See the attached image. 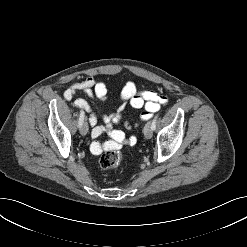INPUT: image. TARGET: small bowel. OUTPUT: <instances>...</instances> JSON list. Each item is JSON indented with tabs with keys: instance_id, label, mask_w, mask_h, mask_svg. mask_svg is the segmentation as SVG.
I'll return each mask as SVG.
<instances>
[{
	"instance_id": "obj_1",
	"label": "small bowel",
	"mask_w": 247,
	"mask_h": 247,
	"mask_svg": "<svg viewBox=\"0 0 247 247\" xmlns=\"http://www.w3.org/2000/svg\"><path fill=\"white\" fill-rule=\"evenodd\" d=\"M77 92H83L89 97L101 102H108V87L106 83L97 80L93 76H90L81 82L72 83L68 86L64 91V98L67 101H71ZM167 102L168 98L166 96L152 90L139 92L136 84L133 81H128L120 93V102L117 109L113 112L103 114L102 124L98 123V116L93 112L90 105L84 99H75L73 104L75 107L89 113L88 122L92 127L91 135L93 138H98L104 133H107L112 137L113 141H116L119 140L117 135H121L122 137L120 140H122L123 134L122 132L115 130L114 125L118 124L122 120L128 107L143 109L141 118L143 120H148L160 109L161 105ZM126 127L131 129L132 125L126 124ZM111 142L112 141H96L92 144V150L97 154L103 149L110 148Z\"/></svg>"
}]
</instances>
